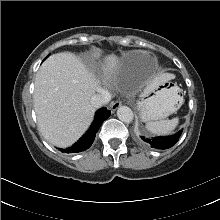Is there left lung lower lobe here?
Segmentation results:
<instances>
[{"label": "left lung lower lobe", "mask_w": 220, "mask_h": 220, "mask_svg": "<svg viewBox=\"0 0 220 220\" xmlns=\"http://www.w3.org/2000/svg\"><path fill=\"white\" fill-rule=\"evenodd\" d=\"M182 130L172 136H160L154 138H147L143 135H140L138 138L139 140L152 148L156 149H167L172 147L179 139Z\"/></svg>", "instance_id": "0a47b994"}]
</instances>
